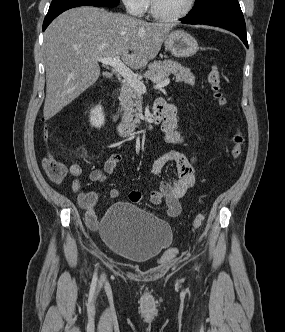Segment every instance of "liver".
<instances>
[{
  "label": "liver",
  "instance_id": "1",
  "mask_svg": "<svg viewBox=\"0 0 285 332\" xmlns=\"http://www.w3.org/2000/svg\"><path fill=\"white\" fill-rule=\"evenodd\" d=\"M170 29L168 24L98 7L73 8L59 15L44 34V119L55 116L98 80L97 58L119 56L127 66L140 69L156 57Z\"/></svg>",
  "mask_w": 285,
  "mask_h": 332
}]
</instances>
